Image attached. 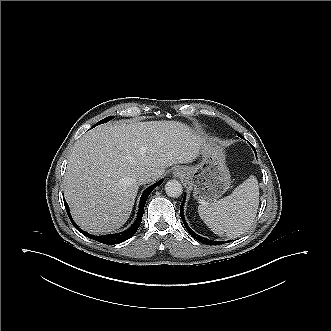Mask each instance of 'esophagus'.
<instances>
[{
	"instance_id": "esophagus-1",
	"label": "esophagus",
	"mask_w": 331,
	"mask_h": 331,
	"mask_svg": "<svg viewBox=\"0 0 331 331\" xmlns=\"http://www.w3.org/2000/svg\"><path fill=\"white\" fill-rule=\"evenodd\" d=\"M173 174L175 177H180L181 172L178 169H176V170H174Z\"/></svg>"
}]
</instances>
